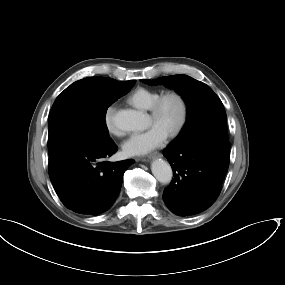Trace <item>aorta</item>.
Instances as JSON below:
<instances>
[{
	"label": "aorta",
	"mask_w": 285,
	"mask_h": 285,
	"mask_svg": "<svg viewBox=\"0 0 285 285\" xmlns=\"http://www.w3.org/2000/svg\"><path fill=\"white\" fill-rule=\"evenodd\" d=\"M114 125L123 131L141 130L144 127V115L131 109L119 110L113 116ZM151 170L154 177L162 184H168L172 180V168L166 161L157 159L152 162Z\"/></svg>",
	"instance_id": "aorta-1"
}]
</instances>
